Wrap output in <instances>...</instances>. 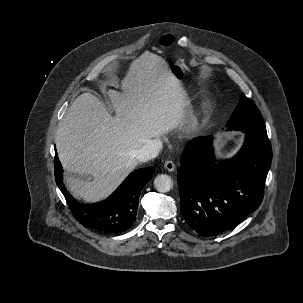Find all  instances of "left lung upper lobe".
I'll return each instance as SVG.
<instances>
[{
    "instance_id": "5c2ea615",
    "label": "left lung upper lobe",
    "mask_w": 303,
    "mask_h": 303,
    "mask_svg": "<svg viewBox=\"0 0 303 303\" xmlns=\"http://www.w3.org/2000/svg\"><path fill=\"white\" fill-rule=\"evenodd\" d=\"M229 130H240L253 134L264 141H269L266 127L262 122L258 107L244 94L227 123Z\"/></svg>"
}]
</instances>
